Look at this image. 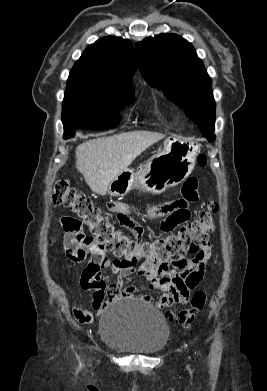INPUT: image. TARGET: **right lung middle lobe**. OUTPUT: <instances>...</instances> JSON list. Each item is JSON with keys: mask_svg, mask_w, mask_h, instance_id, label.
Wrapping results in <instances>:
<instances>
[{"mask_svg": "<svg viewBox=\"0 0 267 391\" xmlns=\"http://www.w3.org/2000/svg\"><path fill=\"white\" fill-rule=\"evenodd\" d=\"M134 92L108 89L93 81H67L62 106L64 138L75 129L100 130L115 127L121 109L132 103Z\"/></svg>", "mask_w": 267, "mask_h": 391, "instance_id": "dd1d6c3e", "label": "right lung middle lobe"}]
</instances>
